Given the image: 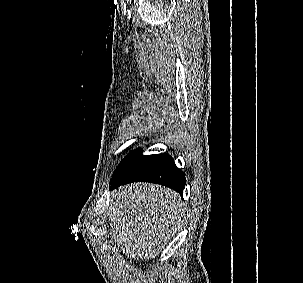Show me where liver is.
Wrapping results in <instances>:
<instances>
[{"instance_id": "6515ba94", "label": "liver", "mask_w": 303, "mask_h": 283, "mask_svg": "<svg viewBox=\"0 0 303 283\" xmlns=\"http://www.w3.org/2000/svg\"><path fill=\"white\" fill-rule=\"evenodd\" d=\"M182 201L174 191L134 183L111 194L109 221L114 241L126 256L149 260L169 242L182 216Z\"/></svg>"}]
</instances>
